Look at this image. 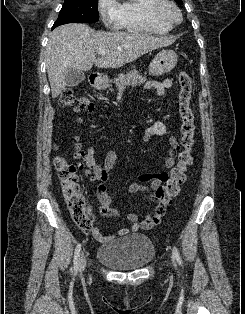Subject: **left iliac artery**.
<instances>
[{
    "label": "left iliac artery",
    "instance_id": "left-iliac-artery-1",
    "mask_svg": "<svg viewBox=\"0 0 245 314\" xmlns=\"http://www.w3.org/2000/svg\"><path fill=\"white\" fill-rule=\"evenodd\" d=\"M172 255H173V258L177 261V263L179 265H181L182 261H181L180 255H179V251H178L177 247H175V246L173 247Z\"/></svg>",
    "mask_w": 245,
    "mask_h": 314
}]
</instances>
